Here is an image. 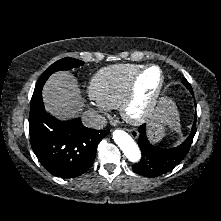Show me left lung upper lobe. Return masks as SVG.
<instances>
[{"label": "left lung upper lobe", "mask_w": 221, "mask_h": 221, "mask_svg": "<svg viewBox=\"0 0 221 221\" xmlns=\"http://www.w3.org/2000/svg\"><path fill=\"white\" fill-rule=\"evenodd\" d=\"M183 84L192 92L191 85L189 84L187 80H183Z\"/></svg>", "instance_id": "1"}]
</instances>
